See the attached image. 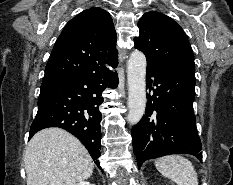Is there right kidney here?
I'll use <instances>...</instances> for the list:
<instances>
[{
  "label": "right kidney",
  "mask_w": 233,
  "mask_h": 185,
  "mask_svg": "<svg viewBox=\"0 0 233 185\" xmlns=\"http://www.w3.org/2000/svg\"><path fill=\"white\" fill-rule=\"evenodd\" d=\"M77 185H93V184H90V182H80L78 183Z\"/></svg>",
  "instance_id": "obj_1"
}]
</instances>
